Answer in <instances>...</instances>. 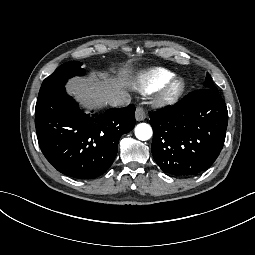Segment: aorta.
Wrapping results in <instances>:
<instances>
[{
  "label": "aorta",
  "instance_id": "aorta-1",
  "mask_svg": "<svg viewBox=\"0 0 255 255\" xmlns=\"http://www.w3.org/2000/svg\"><path fill=\"white\" fill-rule=\"evenodd\" d=\"M135 136L142 141L148 140L152 136V128L146 123H140L135 127Z\"/></svg>",
  "mask_w": 255,
  "mask_h": 255
}]
</instances>
